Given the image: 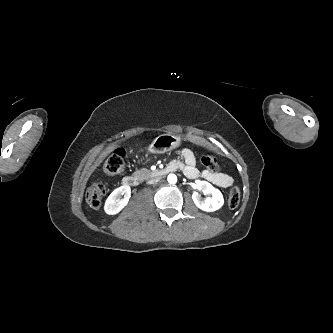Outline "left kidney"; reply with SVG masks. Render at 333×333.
Returning <instances> with one entry per match:
<instances>
[{"mask_svg":"<svg viewBox=\"0 0 333 333\" xmlns=\"http://www.w3.org/2000/svg\"><path fill=\"white\" fill-rule=\"evenodd\" d=\"M202 192L209 197L202 198L200 194L194 192L192 199L195 205L203 211L212 212L221 208L224 204L222 193L207 181H196Z\"/></svg>","mask_w":333,"mask_h":333,"instance_id":"5707ae66","label":"left kidney"}]
</instances>
